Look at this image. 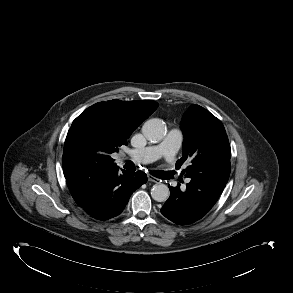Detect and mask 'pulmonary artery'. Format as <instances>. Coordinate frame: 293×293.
<instances>
[{
	"instance_id": "e3ab8cb5",
	"label": "pulmonary artery",
	"mask_w": 293,
	"mask_h": 293,
	"mask_svg": "<svg viewBox=\"0 0 293 293\" xmlns=\"http://www.w3.org/2000/svg\"><path fill=\"white\" fill-rule=\"evenodd\" d=\"M181 142V130L173 128L161 143L133 151L130 154V159L136 163H150L163 157L168 162H173Z\"/></svg>"
}]
</instances>
